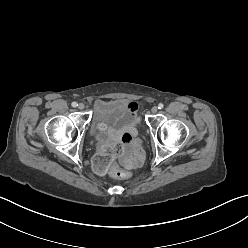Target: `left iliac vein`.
<instances>
[{
    "label": "left iliac vein",
    "mask_w": 248,
    "mask_h": 248,
    "mask_svg": "<svg viewBox=\"0 0 248 248\" xmlns=\"http://www.w3.org/2000/svg\"><path fill=\"white\" fill-rule=\"evenodd\" d=\"M157 111H158V107H157V106H153V107L151 108V112H152L153 114L157 113Z\"/></svg>",
    "instance_id": "left-iliac-vein-1"
}]
</instances>
